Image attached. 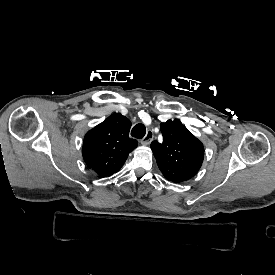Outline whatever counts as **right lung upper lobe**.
I'll use <instances>...</instances> for the list:
<instances>
[{
	"mask_svg": "<svg viewBox=\"0 0 275 275\" xmlns=\"http://www.w3.org/2000/svg\"><path fill=\"white\" fill-rule=\"evenodd\" d=\"M131 122L120 113H114L89 130L83 141L85 163L101 177L118 172L138 141L129 137Z\"/></svg>",
	"mask_w": 275,
	"mask_h": 275,
	"instance_id": "right-lung-upper-lobe-1",
	"label": "right lung upper lobe"
}]
</instances>
